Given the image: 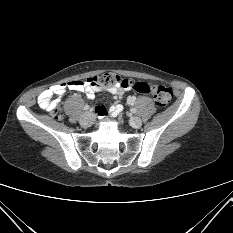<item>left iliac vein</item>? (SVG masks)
<instances>
[{
  "label": "left iliac vein",
  "instance_id": "obj_1",
  "mask_svg": "<svg viewBox=\"0 0 233 233\" xmlns=\"http://www.w3.org/2000/svg\"><path fill=\"white\" fill-rule=\"evenodd\" d=\"M130 125L133 127V128H139L141 127L142 125V121L139 117H132L130 119Z\"/></svg>",
  "mask_w": 233,
  "mask_h": 233
}]
</instances>
